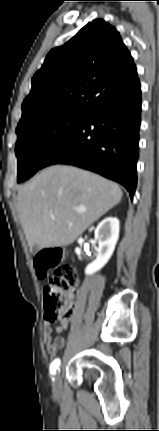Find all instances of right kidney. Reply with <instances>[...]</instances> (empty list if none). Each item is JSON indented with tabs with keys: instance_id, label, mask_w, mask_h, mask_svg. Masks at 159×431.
Returning <instances> with one entry per match:
<instances>
[{
	"instance_id": "obj_1",
	"label": "right kidney",
	"mask_w": 159,
	"mask_h": 431,
	"mask_svg": "<svg viewBox=\"0 0 159 431\" xmlns=\"http://www.w3.org/2000/svg\"><path fill=\"white\" fill-rule=\"evenodd\" d=\"M119 237V220L114 217L104 219L95 230V239L99 248L96 259L87 265L86 275H92L102 269L111 258Z\"/></svg>"
}]
</instances>
